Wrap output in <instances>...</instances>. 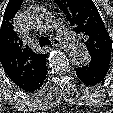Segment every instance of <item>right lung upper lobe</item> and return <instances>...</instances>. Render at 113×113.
<instances>
[{
  "instance_id": "cb5924a9",
  "label": "right lung upper lobe",
  "mask_w": 113,
  "mask_h": 113,
  "mask_svg": "<svg viewBox=\"0 0 113 113\" xmlns=\"http://www.w3.org/2000/svg\"><path fill=\"white\" fill-rule=\"evenodd\" d=\"M23 0H9L0 28V62L8 77L26 90L46 69L47 54L34 53L14 31L13 16Z\"/></svg>"
}]
</instances>
